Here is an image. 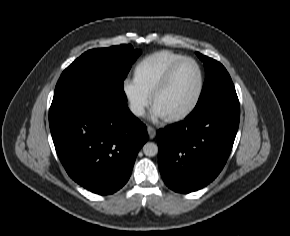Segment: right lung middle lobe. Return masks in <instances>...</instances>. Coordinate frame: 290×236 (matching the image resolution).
I'll return each instance as SVG.
<instances>
[{"label":"right lung middle lobe","mask_w":290,"mask_h":236,"mask_svg":"<svg viewBox=\"0 0 290 236\" xmlns=\"http://www.w3.org/2000/svg\"><path fill=\"white\" fill-rule=\"evenodd\" d=\"M139 55L131 45L85 52L61 74L52 104L127 105L123 82Z\"/></svg>","instance_id":"obj_1"}]
</instances>
